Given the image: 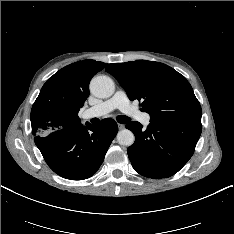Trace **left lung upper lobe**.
<instances>
[{"mask_svg": "<svg viewBox=\"0 0 234 234\" xmlns=\"http://www.w3.org/2000/svg\"><path fill=\"white\" fill-rule=\"evenodd\" d=\"M131 100H142L150 122L200 120L201 106L187 79L159 62L112 63L106 69Z\"/></svg>", "mask_w": 234, "mask_h": 234, "instance_id": "obj_1", "label": "left lung upper lobe"}]
</instances>
